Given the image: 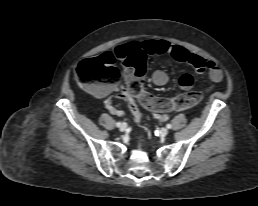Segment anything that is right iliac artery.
<instances>
[{
  "mask_svg": "<svg viewBox=\"0 0 258 206\" xmlns=\"http://www.w3.org/2000/svg\"><path fill=\"white\" fill-rule=\"evenodd\" d=\"M116 126H117V127H120V126H121V123H120V122H117V123H116Z\"/></svg>",
  "mask_w": 258,
  "mask_h": 206,
  "instance_id": "right-iliac-artery-1",
  "label": "right iliac artery"
}]
</instances>
